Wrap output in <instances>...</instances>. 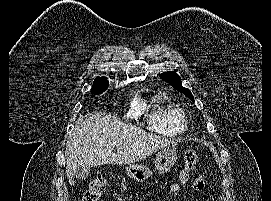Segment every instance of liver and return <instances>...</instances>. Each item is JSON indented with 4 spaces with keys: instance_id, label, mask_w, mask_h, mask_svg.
Returning a JSON list of instances; mask_svg holds the SVG:
<instances>
[{
    "instance_id": "obj_1",
    "label": "liver",
    "mask_w": 271,
    "mask_h": 201,
    "mask_svg": "<svg viewBox=\"0 0 271 201\" xmlns=\"http://www.w3.org/2000/svg\"><path fill=\"white\" fill-rule=\"evenodd\" d=\"M175 142L126 124L105 112L80 117L67 147L66 175L74 184L78 166L92 168L105 164H131L146 159ZM117 152L113 153V148Z\"/></svg>"
}]
</instances>
